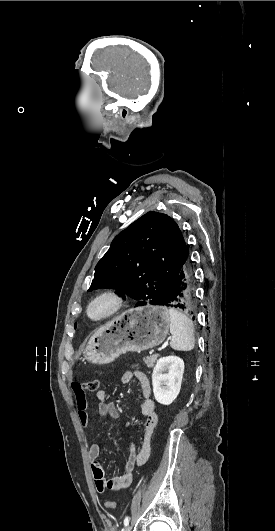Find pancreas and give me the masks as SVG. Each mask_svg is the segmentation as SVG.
<instances>
[{"label": "pancreas", "mask_w": 275, "mask_h": 531, "mask_svg": "<svg viewBox=\"0 0 275 531\" xmlns=\"http://www.w3.org/2000/svg\"><path fill=\"white\" fill-rule=\"evenodd\" d=\"M159 355H151V357H144L143 361L147 367H154Z\"/></svg>", "instance_id": "pancreas-1"}]
</instances>
